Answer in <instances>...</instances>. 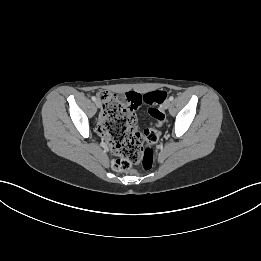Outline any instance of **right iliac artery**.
I'll return each mask as SVG.
<instances>
[{
    "mask_svg": "<svg viewBox=\"0 0 261 261\" xmlns=\"http://www.w3.org/2000/svg\"><path fill=\"white\" fill-rule=\"evenodd\" d=\"M92 100H93V101H96V97H95V96H92Z\"/></svg>",
    "mask_w": 261,
    "mask_h": 261,
    "instance_id": "obj_1",
    "label": "right iliac artery"
}]
</instances>
